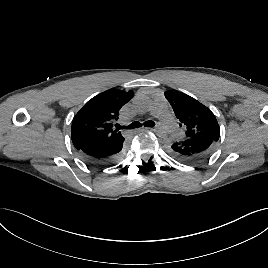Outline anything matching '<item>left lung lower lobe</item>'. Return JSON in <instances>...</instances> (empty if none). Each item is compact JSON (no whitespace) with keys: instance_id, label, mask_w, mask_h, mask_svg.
I'll use <instances>...</instances> for the list:
<instances>
[{"instance_id":"obj_1","label":"left lung lower lobe","mask_w":268,"mask_h":268,"mask_svg":"<svg viewBox=\"0 0 268 268\" xmlns=\"http://www.w3.org/2000/svg\"><path fill=\"white\" fill-rule=\"evenodd\" d=\"M216 143L208 137H184L181 140L168 141L166 150L171 157L182 163L195 164L209 158Z\"/></svg>"}]
</instances>
